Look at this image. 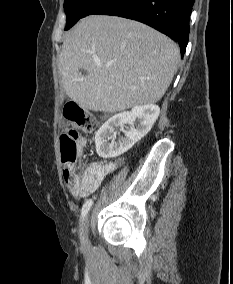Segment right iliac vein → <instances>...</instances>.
Listing matches in <instances>:
<instances>
[{"label": "right iliac vein", "instance_id": "1", "mask_svg": "<svg viewBox=\"0 0 233 284\" xmlns=\"http://www.w3.org/2000/svg\"><path fill=\"white\" fill-rule=\"evenodd\" d=\"M88 217H86L81 225L82 233H83V240H87V232H88Z\"/></svg>", "mask_w": 233, "mask_h": 284}]
</instances>
